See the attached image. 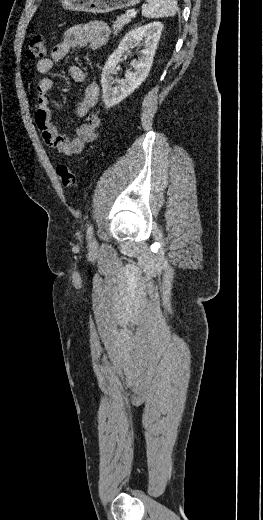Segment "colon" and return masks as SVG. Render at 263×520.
<instances>
[{
  "label": "colon",
  "mask_w": 263,
  "mask_h": 520,
  "mask_svg": "<svg viewBox=\"0 0 263 520\" xmlns=\"http://www.w3.org/2000/svg\"><path fill=\"white\" fill-rule=\"evenodd\" d=\"M46 46L42 35H35L29 41L27 56L29 59L42 58L45 55ZM56 173L61 183L68 188L77 186V179L72 170L64 164L58 165Z\"/></svg>",
  "instance_id": "obj_1"
}]
</instances>
